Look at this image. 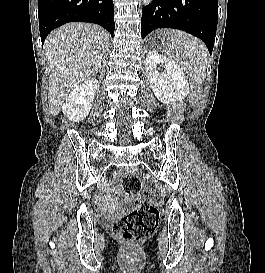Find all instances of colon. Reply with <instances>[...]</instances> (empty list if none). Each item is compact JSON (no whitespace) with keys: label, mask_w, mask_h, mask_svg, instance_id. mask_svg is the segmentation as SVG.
I'll list each match as a JSON object with an SVG mask.
<instances>
[{"label":"colon","mask_w":265,"mask_h":273,"mask_svg":"<svg viewBox=\"0 0 265 273\" xmlns=\"http://www.w3.org/2000/svg\"><path fill=\"white\" fill-rule=\"evenodd\" d=\"M124 192L134 199V208L115 222V237L126 244H138L152 236L159 225V211L149 198L140 197L142 180L137 171H128L122 179Z\"/></svg>","instance_id":"5ec220e1"}]
</instances>
